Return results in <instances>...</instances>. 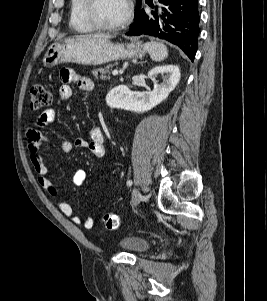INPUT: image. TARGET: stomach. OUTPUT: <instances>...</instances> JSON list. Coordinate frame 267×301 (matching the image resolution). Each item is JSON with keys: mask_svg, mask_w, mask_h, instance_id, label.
Listing matches in <instances>:
<instances>
[{"mask_svg": "<svg viewBox=\"0 0 267 301\" xmlns=\"http://www.w3.org/2000/svg\"><path fill=\"white\" fill-rule=\"evenodd\" d=\"M147 49L138 41L127 44H114L109 39L77 40L67 38L49 46L43 58L45 67L61 63L101 65L119 59L143 57Z\"/></svg>", "mask_w": 267, "mask_h": 301, "instance_id": "obj_1", "label": "stomach"}]
</instances>
